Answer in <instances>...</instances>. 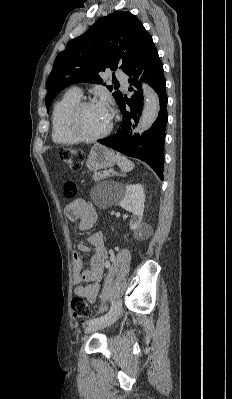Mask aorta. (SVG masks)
Listing matches in <instances>:
<instances>
[{"label": "aorta", "instance_id": "762f6f07", "mask_svg": "<svg viewBox=\"0 0 232 399\" xmlns=\"http://www.w3.org/2000/svg\"><path fill=\"white\" fill-rule=\"evenodd\" d=\"M144 106L136 132L142 134L149 129L158 117L160 110L159 98L156 92L147 84L143 83Z\"/></svg>", "mask_w": 232, "mask_h": 399}]
</instances>
